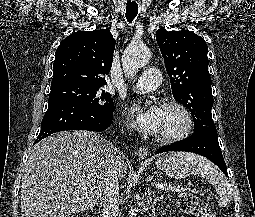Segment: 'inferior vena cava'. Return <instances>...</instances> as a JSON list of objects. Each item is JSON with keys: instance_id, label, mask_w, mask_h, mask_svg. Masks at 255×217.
Masks as SVG:
<instances>
[{"instance_id": "1", "label": "inferior vena cava", "mask_w": 255, "mask_h": 217, "mask_svg": "<svg viewBox=\"0 0 255 217\" xmlns=\"http://www.w3.org/2000/svg\"><path fill=\"white\" fill-rule=\"evenodd\" d=\"M111 163L108 167L104 183L103 217H118L119 213V182L115 162V148L111 147Z\"/></svg>"}]
</instances>
